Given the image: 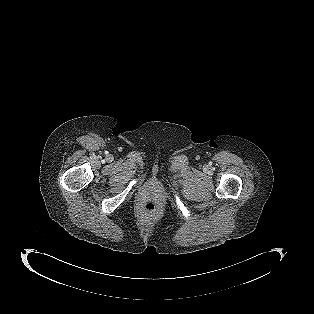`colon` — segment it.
<instances>
[{"instance_id":"obj_1","label":"colon","mask_w":314,"mask_h":314,"mask_svg":"<svg viewBox=\"0 0 314 314\" xmlns=\"http://www.w3.org/2000/svg\"><path fill=\"white\" fill-rule=\"evenodd\" d=\"M143 211L149 216L157 214L158 210L154 202L148 201L143 205Z\"/></svg>"}]
</instances>
